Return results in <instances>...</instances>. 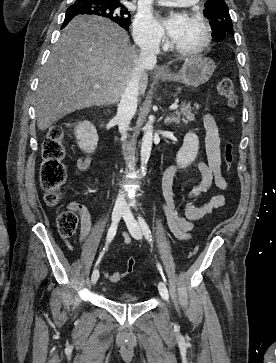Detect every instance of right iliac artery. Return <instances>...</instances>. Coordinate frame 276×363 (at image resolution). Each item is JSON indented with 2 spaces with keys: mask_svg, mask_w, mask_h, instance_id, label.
Segmentation results:
<instances>
[{
  "mask_svg": "<svg viewBox=\"0 0 276 363\" xmlns=\"http://www.w3.org/2000/svg\"><path fill=\"white\" fill-rule=\"evenodd\" d=\"M117 231V224H112L111 227L109 228L108 234H107V238H106V247L108 246V244L113 240L115 234ZM105 250V248H103V251ZM101 252L99 259L96 263L95 266H97L99 260L102 258V256L104 255V252Z\"/></svg>",
  "mask_w": 276,
  "mask_h": 363,
  "instance_id": "obj_1",
  "label": "right iliac artery"
}]
</instances>
